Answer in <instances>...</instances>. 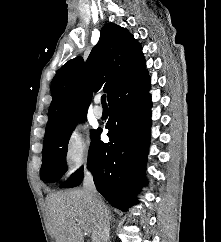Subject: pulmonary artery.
Listing matches in <instances>:
<instances>
[{
	"instance_id": "obj_1",
	"label": "pulmonary artery",
	"mask_w": 221,
	"mask_h": 242,
	"mask_svg": "<svg viewBox=\"0 0 221 242\" xmlns=\"http://www.w3.org/2000/svg\"><path fill=\"white\" fill-rule=\"evenodd\" d=\"M99 102H100V99L96 98L95 105L93 107V114H94L95 118H97V119H100L103 116V110L99 106Z\"/></svg>"
}]
</instances>
